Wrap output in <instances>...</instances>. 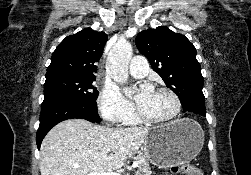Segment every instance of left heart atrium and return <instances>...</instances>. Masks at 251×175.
<instances>
[{"label":"left heart atrium","instance_id":"left-heart-atrium-1","mask_svg":"<svg viewBox=\"0 0 251 175\" xmlns=\"http://www.w3.org/2000/svg\"><path fill=\"white\" fill-rule=\"evenodd\" d=\"M153 92L154 89L150 84L143 85L138 96V101L141 104H146L151 99Z\"/></svg>","mask_w":251,"mask_h":175}]
</instances>
